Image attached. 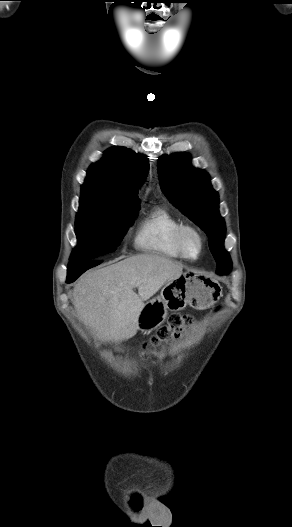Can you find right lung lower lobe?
<instances>
[{
  "mask_svg": "<svg viewBox=\"0 0 292 527\" xmlns=\"http://www.w3.org/2000/svg\"><path fill=\"white\" fill-rule=\"evenodd\" d=\"M100 264V262H91V261H78L71 262L68 266L67 271V283L74 282L83 272L87 269L94 267Z\"/></svg>",
  "mask_w": 292,
  "mask_h": 527,
  "instance_id": "1",
  "label": "right lung lower lobe"
}]
</instances>
